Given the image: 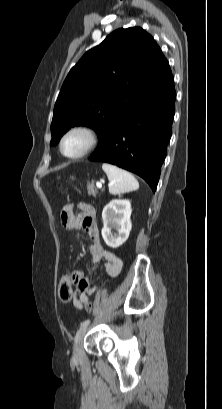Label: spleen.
<instances>
[{"instance_id":"obj_1","label":"spleen","mask_w":222,"mask_h":409,"mask_svg":"<svg viewBox=\"0 0 222 409\" xmlns=\"http://www.w3.org/2000/svg\"><path fill=\"white\" fill-rule=\"evenodd\" d=\"M102 169L110 181L109 192L112 195L123 194L139 188L136 178L126 170L104 163Z\"/></svg>"}]
</instances>
